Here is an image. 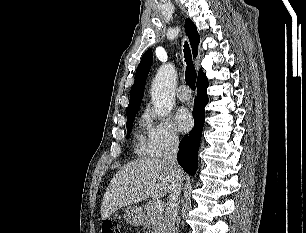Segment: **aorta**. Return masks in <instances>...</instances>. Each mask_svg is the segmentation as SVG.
<instances>
[{
    "label": "aorta",
    "instance_id": "762f6f07",
    "mask_svg": "<svg viewBox=\"0 0 306 233\" xmlns=\"http://www.w3.org/2000/svg\"><path fill=\"white\" fill-rule=\"evenodd\" d=\"M176 69L171 63L162 65L153 80L151 98L155 113L168 115L175 105Z\"/></svg>",
    "mask_w": 306,
    "mask_h": 233
}]
</instances>
